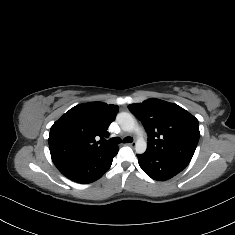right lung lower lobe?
I'll list each match as a JSON object with an SVG mask.
<instances>
[{"instance_id": "obj_1", "label": "right lung lower lobe", "mask_w": 235, "mask_h": 235, "mask_svg": "<svg viewBox=\"0 0 235 235\" xmlns=\"http://www.w3.org/2000/svg\"><path fill=\"white\" fill-rule=\"evenodd\" d=\"M119 147L97 153L84 155H53L52 161L58 170L68 179L81 183H91L101 178L110 168L113 157Z\"/></svg>"}]
</instances>
